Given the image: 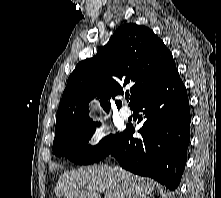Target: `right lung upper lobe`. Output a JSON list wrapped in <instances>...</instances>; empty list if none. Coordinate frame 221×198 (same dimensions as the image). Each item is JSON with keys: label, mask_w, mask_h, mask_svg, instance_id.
<instances>
[{"label": "right lung upper lobe", "mask_w": 221, "mask_h": 198, "mask_svg": "<svg viewBox=\"0 0 221 198\" xmlns=\"http://www.w3.org/2000/svg\"><path fill=\"white\" fill-rule=\"evenodd\" d=\"M175 71L172 54L151 29L122 25L95 56L79 62L70 74L57 111L55 137L93 122L88 104L94 97L109 111L108 100L123 94L122 86L130 83L129 105L134 108Z\"/></svg>", "instance_id": "obj_1"}]
</instances>
